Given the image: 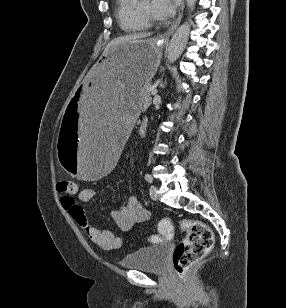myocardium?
Here are the masks:
<instances>
[{
    "instance_id": "1",
    "label": "myocardium",
    "mask_w": 286,
    "mask_h": 308,
    "mask_svg": "<svg viewBox=\"0 0 286 308\" xmlns=\"http://www.w3.org/2000/svg\"><path fill=\"white\" fill-rule=\"evenodd\" d=\"M138 16L148 25L153 24L154 23V18L153 16H150L148 14L143 13L142 11H140L138 8L136 9Z\"/></svg>"
}]
</instances>
